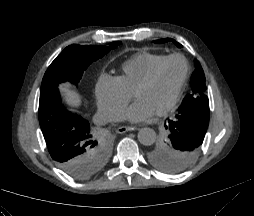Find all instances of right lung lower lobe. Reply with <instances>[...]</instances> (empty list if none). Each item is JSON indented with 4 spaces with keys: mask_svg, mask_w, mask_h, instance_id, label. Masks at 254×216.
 <instances>
[{
    "mask_svg": "<svg viewBox=\"0 0 254 216\" xmlns=\"http://www.w3.org/2000/svg\"><path fill=\"white\" fill-rule=\"evenodd\" d=\"M38 117L48 151L57 165L70 176L86 180L99 171L98 142L88 121L68 111L58 88L40 93ZM79 165V170L75 165Z\"/></svg>",
    "mask_w": 254,
    "mask_h": 216,
    "instance_id": "right-lung-lower-lobe-1",
    "label": "right lung lower lobe"
}]
</instances>
